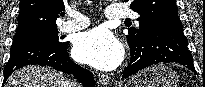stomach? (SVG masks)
<instances>
[{"label":"stomach","mask_w":205,"mask_h":87,"mask_svg":"<svg viewBox=\"0 0 205 87\" xmlns=\"http://www.w3.org/2000/svg\"><path fill=\"white\" fill-rule=\"evenodd\" d=\"M125 87H179V78L170 68L158 64L133 75Z\"/></svg>","instance_id":"stomach-1"}]
</instances>
